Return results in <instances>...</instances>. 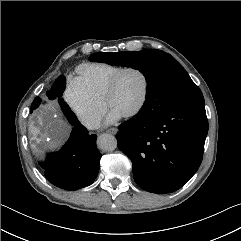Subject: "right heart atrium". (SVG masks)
<instances>
[{
	"instance_id": "right-heart-atrium-1",
	"label": "right heart atrium",
	"mask_w": 241,
	"mask_h": 241,
	"mask_svg": "<svg viewBox=\"0 0 241 241\" xmlns=\"http://www.w3.org/2000/svg\"><path fill=\"white\" fill-rule=\"evenodd\" d=\"M65 100L85 127L94 129L99 125L105 110L104 103L95 99L77 79L69 81Z\"/></svg>"
}]
</instances>
